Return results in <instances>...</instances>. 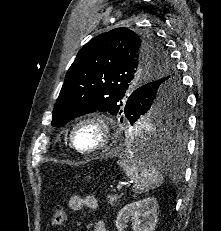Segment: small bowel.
Wrapping results in <instances>:
<instances>
[{"instance_id": "small-bowel-1", "label": "small bowel", "mask_w": 221, "mask_h": 231, "mask_svg": "<svg viewBox=\"0 0 221 231\" xmlns=\"http://www.w3.org/2000/svg\"><path fill=\"white\" fill-rule=\"evenodd\" d=\"M69 207L74 211H79L83 208L90 211L98 209V201L94 196L73 195L69 199ZM92 231H107L106 225L102 220L95 222Z\"/></svg>"}]
</instances>
